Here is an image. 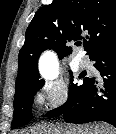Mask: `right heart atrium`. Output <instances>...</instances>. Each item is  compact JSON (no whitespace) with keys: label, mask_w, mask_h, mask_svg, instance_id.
<instances>
[{"label":"right heart atrium","mask_w":116,"mask_h":134,"mask_svg":"<svg viewBox=\"0 0 116 134\" xmlns=\"http://www.w3.org/2000/svg\"><path fill=\"white\" fill-rule=\"evenodd\" d=\"M69 95L68 83L62 79H55L43 84L38 93V100L48 110L56 111L67 103Z\"/></svg>","instance_id":"1"}]
</instances>
